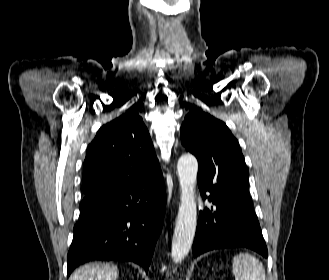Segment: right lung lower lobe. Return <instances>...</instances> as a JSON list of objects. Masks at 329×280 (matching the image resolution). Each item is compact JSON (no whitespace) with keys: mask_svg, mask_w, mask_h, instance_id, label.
Masks as SVG:
<instances>
[{"mask_svg":"<svg viewBox=\"0 0 329 280\" xmlns=\"http://www.w3.org/2000/svg\"><path fill=\"white\" fill-rule=\"evenodd\" d=\"M165 204L161 172L140 180L112 181L85 193L67 256L68 276L92 260L132 261L147 273Z\"/></svg>","mask_w":329,"mask_h":280,"instance_id":"obj_1","label":"right lung lower lobe"}]
</instances>
